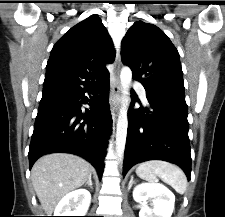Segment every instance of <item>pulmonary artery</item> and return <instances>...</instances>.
<instances>
[{
  "mask_svg": "<svg viewBox=\"0 0 225 217\" xmlns=\"http://www.w3.org/2000/svg\"><path fill=\"white\" fill-rule=\"evenodd\" d=\"M134 88L136 89V91L139 93L141 99L147 103V98H146V91L144 89V87L141 84H135Z\"/></svg>",
  "mask_w": 225,
  "mask_h": 217,
  "instance_id": "obj_1",
  "label": "pulmonary artery"
}]
</instances>
